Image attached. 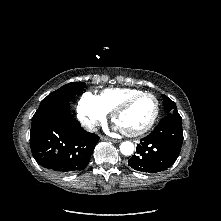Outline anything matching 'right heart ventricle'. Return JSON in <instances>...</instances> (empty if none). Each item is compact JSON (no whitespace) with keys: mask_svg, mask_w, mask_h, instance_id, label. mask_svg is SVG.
Returning a JSON list of instances; mask_svg holds the SVG:
<instances>
[{"mask_svg":"<svg viewBox=\"0 0 221 221\" xmlns=\"http://www.w3.org/2000/svg\"><path fill=\"white\" fill-rule=\"evenodd\" d=\"M142 91L134 88H110L103 90L98 98L107 112H112L125 99L141 93Z\"/></svg>","mask_w":221,"mask_h":221,"instance_id":"1","label":"right heart ventricle"}]
</instances>
